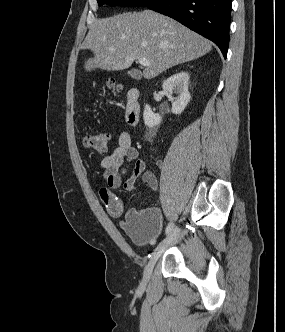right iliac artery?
<instances>
[{"instance_id": "right-iliac-artery-1", "label": "right iliac artery", "mask_w": 285, "mask_h": 332, "mask_svg": "<svg viewBox=\"0 0 285 332\" xmlns=\"http://www.w3.org/2000/svg\"><path fill=\"white\" fill-rule=\"evenodd\" d=\"M173 229V223H169L166 227L165 233H169Z\"/></svg>"}]
</instances>
